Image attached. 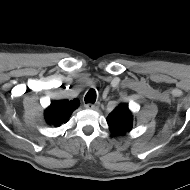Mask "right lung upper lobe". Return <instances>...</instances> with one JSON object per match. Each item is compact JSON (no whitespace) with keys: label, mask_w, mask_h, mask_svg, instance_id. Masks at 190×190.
<instances>
[{"label":"right lung upper lobe","mask_w":190,"mask_h":190,"mask_svg":"<svg viewBox=\"0 0 190 190\" xmlns=\"http://www.w3.org/2000/svg\"><path fill=\"white\" fill-rule=\"evenodd\" d=\"M79 100L73 99L54 101L45 111V119L48 124L59 127L62 123L66 122L72 112L78 108Z\"/></svg>","instance_id":"obj_1"}]
</instances>
